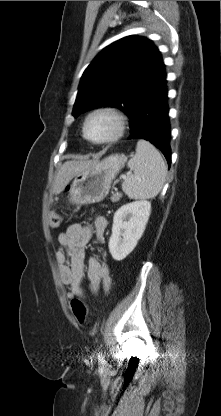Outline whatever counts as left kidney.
<instances>
[{"label": "left kidney", "mask_w": 221, "mask_h": 416, "mask_svg": "<svg viewBox=\"0 0 221 416\" xmlns=\"http://www.w3.org/2000/svg\"><path fill=\"white\" fill-rule=\"evenodd\" d=\"M151 213L149 201H135L121 206L114 214L109 251L121 261L136 247Z\"/></svg>", "instance_id": "1"}]
</instances>
